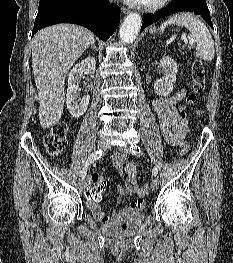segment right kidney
Here are the masks:
<instances>
[{
    "mask_svg": "<svg viewBox=\"0 0 233 263\" xmlns=\"http://www.w3.org/2000/svg\"><path fill=\"white\" fill-rule=\"evenodd\" d=\"M96 69V61L93 57H87L81 63H77L68 75V89L66 94V105L74 118L81 117L87 110L90 96H80L79 84L83 72L93 74Z\"/></svg>",
    "mask_w": 233,
    "mask_h": 263,
    "instance_id": "obj_1",
    "label": "right kidney"
}]
</instances>
